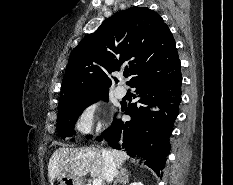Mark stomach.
<instances>
[{
	"label": "stomach",
	"instance_id": "obj_1",
	"mask_svg": "<svg viewBox=\"0 0 233 185\" xmlns=\"http://www.w3.org/2000/svg\"><path fill=\"white\" fill-rule=\"evenodd\" d=\"M57 180L59 185H82L80 178L65 172L57 176Z\"/></svg>",
	"mask_w": 233,
	"mask_h": 185
}]
</instances>
